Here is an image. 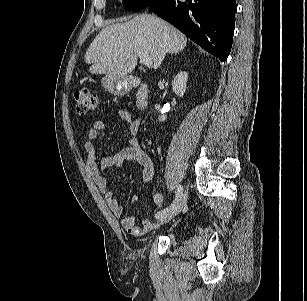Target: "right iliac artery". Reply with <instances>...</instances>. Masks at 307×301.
Here are the masks:
<instances>
[{
  "instance_id": "obj_1",
  "label": "right iliac artery",
  "mask_w": 307,
  "mask_h": 301,
  "mask_svg": "<svg viewBox=\"0 0 307 301\" xmlns=\"http://www.w3.org/2000/svg\"><path fill=\"white\" fill-rule=\"evenodd\" d=\"M183 195V187L181 185L177 186V191H176V197L175 200L173 201V203L167 207L164 210H161L159 212L156 213L155 218L156 219H160L162 217H164L165 215H167L177 204V202L179 201V199L181 198V196Z\"/></svg>"
}]
</instances>
